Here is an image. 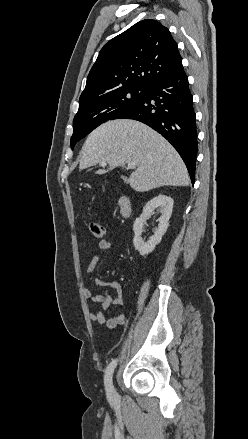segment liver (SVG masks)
Listing matches in <instances>:
<instances>
[{
	"mask_svg": "<svg viewBox=\"0 0 248 439\" xmlns=\"http://www.w3.org/2000/svg\"><path fill=\"white\" fill-rule=\"evenodd\" d=\"M109 164L104 174L118 166L135 163L129 184L137 192L161 186H187V168L172 145L147 125L130 119L108 121L87 137L80 160L83 170L97 163Z\"/></svg>",
	"mask_w": 248,
	"mask_h": 439,
	"instance_id": "6515ba94",
	"label": "liver"
}]
</instances>
